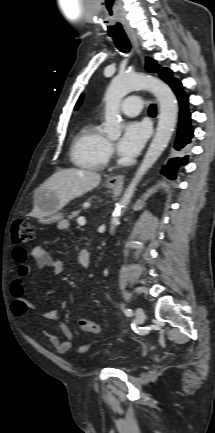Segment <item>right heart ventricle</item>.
<instances>
[{"label": "right heart ventricle", "instance_id": "e07e8e85", "mask_svg": "<svg viewBox=\"0 0 215 433\" xmlns=\"http://www.w3.org/2000/svg\"><path fill=\"white\" fill-rule=\"evenodd\" d=\"M108 140L97 121H87L77 133L71 149V158L75 165L100 170L108 161Z\"/></svg>", "mask_w": 215, "mask_h": 433}]
</instances>
